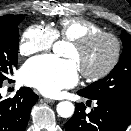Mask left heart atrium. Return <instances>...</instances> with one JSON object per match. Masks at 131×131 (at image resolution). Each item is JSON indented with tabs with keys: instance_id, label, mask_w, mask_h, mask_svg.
Instances as JSON below:
<instances>
[{
	"instance_id": "left-heart-atrium-1",
	"label": "left heart atrium",
	"mask_w": 131,
	"mask_h": 131,
	"mask_svg": "<svg viewBox=\"0 0 131 131\" xmlns=\"http://www.w3.org/2000/svg\"><path fill=\"white\" fill-rule=\"evenodd\" d=\"M21 79L45 95L55 96L78 82V67L72 59L61 60L52 55L36 57L25 64Z\"/></svg>"
}]
</instances>
